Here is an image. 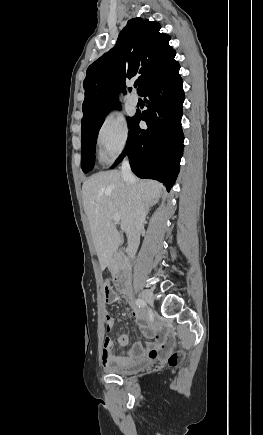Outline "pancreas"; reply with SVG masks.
Returning a JSON list of instances; mask_svg holds the SVG:
<instances>
[{"label":"pancreas","instance_id":"pancreas-1","mask_svg":"<svg viewBox=\"0 0 263 435\" xmlns=\"http://www.w3.org/2000/svg\"><path fill=\"white\" fill-rule=\"evenodd\" d=\"M121 261L118 257H114V259L112 260L111 264H110V269L111 270H117L120 267Z\"/></svg>","mask_w":263,"mask_h":435}]
</instances>
